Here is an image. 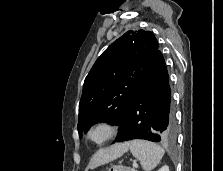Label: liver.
I'll return each mask as SVG.
<instances>
[{
    "label": "liver",
    "mask_w": 223,
    "mask_h": 171,
    "mask_svg": "<svg viewBox=\"0 0 223 171\" xmlns=\"http://www.w3.org/2000/svg\"><path fill=\"white\" fill-rule=\"evenodd\" d=\"M128 143L115 144L107 149L98 151L91 159L89 164L90 169H94L100 165L109 163L127 152Z\"/></svg>",
    "instance_id": "6515ba94"
}]
</instances>
